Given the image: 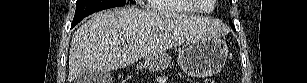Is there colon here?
Masks as SVG:
<instances>
[{"label":"colon","mask_w":307,"mask_h":83,"mask_svg":"<svg viewBox=\"0 0 307 83\" xmlns=\"http://www.w3.org/2000/svg\"><path fill=\"white\" fill-rule=\"evenodd\" d=\"M205 82H206V83H214L215 81L212 80V79H208V80H206Z\"/></svg>","instance_id":"5ec220e1"}]
</instances>
